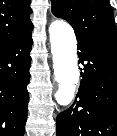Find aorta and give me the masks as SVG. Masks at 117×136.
Masks as SVG:
<instances>
[{"label": "aorta", "instance_id": "aorta-1", "mask_svg": "<svg viewBox=\"0 0 117 136\" xmlns=\"http://www.w3.org/2000/svg\"><path fill=\"white\" fill-rule=\"evenodd\" d=\"M55 81L58 83L56 100L69 104L79 81L77 66V40L72 27L62 20H55L49 27Z\"/></svg>", "mask_w": 117, "mask_h": 136}]
</instances>
